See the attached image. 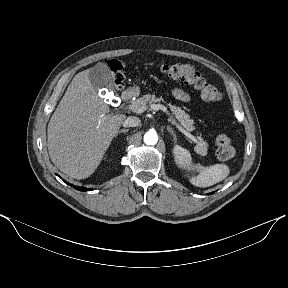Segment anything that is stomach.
I'll list each match as a JSON object with an SVG mask.
<instances>
[{"label":"stomach","mask_w":288,"mask_h":288,"mask_svg":"<svg viewBox=\"0 0 288 288\" xmlns=\"http://www.w3.org/2000/svg\"><path fill=\"white\" fill-rule=\"evenodd\" d=\"M135 91H136V92H138V91H139V89H138V88H136V89H135Z\"/></svg>","instance_id":"obj_1"}]
</instances>
